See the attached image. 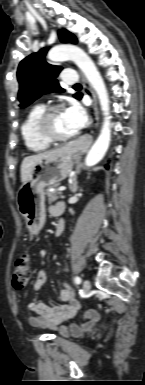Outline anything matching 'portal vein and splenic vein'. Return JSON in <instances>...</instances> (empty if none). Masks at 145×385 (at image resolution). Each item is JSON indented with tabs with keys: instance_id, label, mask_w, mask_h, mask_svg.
Listing matches in <instances>:
<instances>
[{
	"instance_id": "1",
	"label": "portal vein and splenic vein",
	"mask_w": 145,
	"mask_h": 385,
	"mask_svg": "<svg viewBox=\"0 0 145 385\" xmlns=\"http://www.w3.org/2000/svg\"><path fill=\"white\" fill-rule=\"evenodd\" d=\"M58 190H59L60 192L65 191V190H66V187L62 186V187H60Z\"/></svg>"
}]
</instances>
